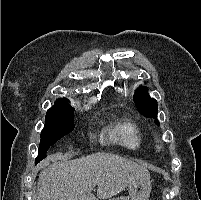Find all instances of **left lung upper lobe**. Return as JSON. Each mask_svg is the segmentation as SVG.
<instances>
[{
  "label": "left lung upper lobe",
  "mask_w": 201,
  "mask_h": 200,
  "mask_svg": "<svg viewBox=\"0 0 201 200\" xmlns=\"http://www.w3.org/2000/svg\"><path fill=\"white\" fill-rule=\"evenodd\" d=\"M147 88H141L134 96L136 107L142 115L149 118H157V101L147 94Z\"/></svg>",
  "instance_id": "1"
}]
</instances>
